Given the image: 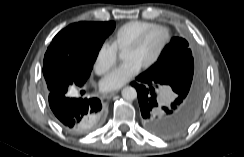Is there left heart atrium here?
<instances>
[{"label": "left heart atrium", "mask_w": 244, "mask_h": 157, "mask_svg": "<svg viewBox=\"0 0 244 157\" xmlns=\"http://www.w3.org/2000/svg\"><path fill=\"white\" fill-rule=\"evenodd\" d=\"M140 69L141 66L137 62L127 60L103 79L101 87L105 91L119 89L135 76Z\"/></svg>", "instance_id": "left-heart-atrium-1"}]
</instances>
